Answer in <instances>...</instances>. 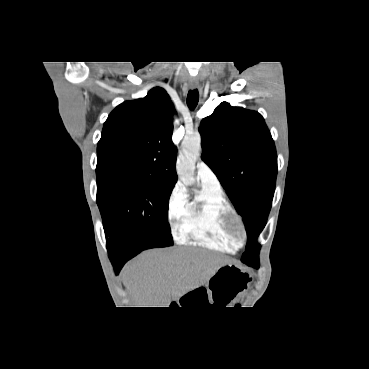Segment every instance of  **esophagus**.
Wrapping results in <instances>:
<instances>
[{
  "instance_id": "obj_1",
  "label": "esophagus",
  "mask_w": 369,
  "mask_h": 369,
  "mask_svg": "<svg viewBox=\"0 0 369 369\" xmlns=\"http://www.w3.org/2000/svg\"><path fill=\"white\" fill-rule=\"evenodd\" d=\"M189 86H190L191 89H196L198 87V83L197 82H191L189 84Z\"/></svg>"
}]
</instances>
